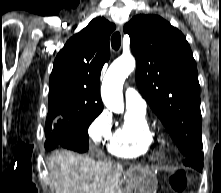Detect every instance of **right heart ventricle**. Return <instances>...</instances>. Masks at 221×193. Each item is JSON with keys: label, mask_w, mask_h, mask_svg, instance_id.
I'll list each match as a JSON object with an SVG mask.
<instances>
[{"label": "right heart ventricle", "mask_w": 221, "mask_h": 193, "mask_svg": "<svg viewBox=\"0 0 221 193\" xmlns=\"http://www.w3.org/2000/svg\"><path fill=\"white\" fill-rule=\"evenodd\" d=\"M153 144V133L146 111L128 109L125 120L111 135L107 149L116 157L137 158L145 155Z\"/></svg>", "instance_id": "obj_1"}]
</instances>
